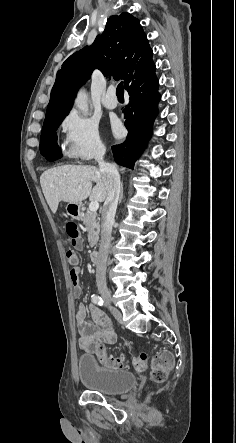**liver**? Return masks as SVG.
Masks as SVG:
<instances>
[{
	"label": "liver",
	"mask_w": 236,
	"mask_h": 443,
	"mask_svg": "<svg viewBox=\"0 0 236 443\" xmlns=\"http://www.w3.org/2000/svg\"><path fill=\"white\" fill-rule=\"evenodd\" d=\"M93 182L96 185L92 188ZM40 184L52 213H56L61 201L81 204L90 197L91 201L103 202L107 196L106 180L100 170L90 165H65L48 169L41 175Z\"/></svg>",
	"instance_id": "6515ba94"
}]
</instances>
